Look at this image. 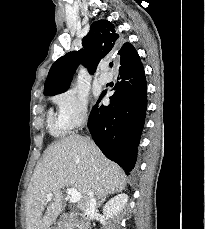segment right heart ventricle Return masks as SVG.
Here are the masks:
<instances>
[{"instance_id":"1","label":"right heart ventricle","mask_w":205,"mask_h":229,"mask_svg":"<svg viewBox=\"0 0 205 229\" xmlns=\"http://www.w3.org/2000/svg\"><path fill=\"white\" fill-rule=\"evenodd\" d=\"M47 122L49 131L53 136H64L69 131L59 117H55L52 112L49 113Z\"/></svg>"}]
</instances>
